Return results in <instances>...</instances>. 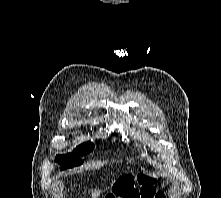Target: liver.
Returning a JSON list of instances; mask_svg holds the SVG:
<instances>
[{"label":"liver","instance_id":"1","mask_svg":"<svg viewBox=\"0 0 221 198\" xmlns=\"http://www.w3.org/2000/svg\"><path fill=\"white\" fill-rule=\"evenodd\" d=\"M100 192H101V191H99V190H98V191H92V197H93V198L98 197V196L100 195Z\"/></svg>","mask_w":221,"mask_h":198}]
</instances>
